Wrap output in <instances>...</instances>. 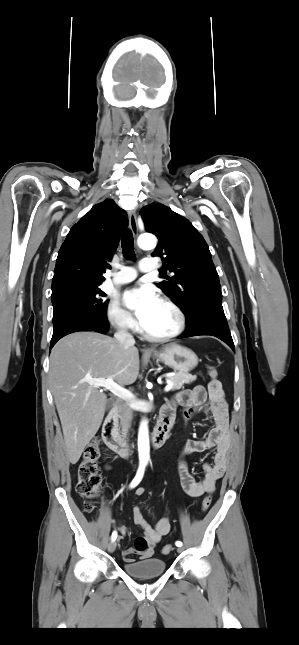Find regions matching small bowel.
<instances>
[{"mask_svg": "<svg viewBox=\"0 0 299 645\" xmlns=\"http://www.w3.org/2000/svg\"><path fill=\"white\" fill-rule=\"evenodd\" d=\"M176 404L184 408L183 416L186 421L200 411L210 414L213 419L214 424L208 436L203 440H188L183 449V455L215 449L213 462L203 464V477L197 479L183 459L180 460L178 466L182 487L188 495L198 497L205 493H212L215 490L216 482L223 477L226 471L231 446L228 408L223 391L222 389L214 391L209 388L206 392L205 388L199 385L191 390L180 392L176 397ZM167 408L174 418V405L167 406ZM144 493L143 488H138L135 492L138 497L143 496ZM132 518L134 523L142 528L147 547L142 552L135 548L124 550L123 559L128 563L135 561L134 555H137L141 560L151 558L157 544L171 530L169 517H162L155 527H152L143 517L139 506L132 509ZM118 529L119 538L122 539L127 533V528L120 525Z\"/></svg>", "mask_w": 299, "mask_h": 645, "instance_id": "obj_1", "label": "small bowel"}]
</instances>
